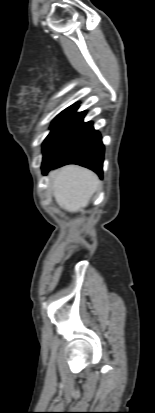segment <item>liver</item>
Wrapping results in <instances>:
<instances>
[{"mask_svg": "<svg viewBox=\"0 0 155 413\" xmlns=\"http://www.w3.org/2000/svg\"><path fill=\"white\" fill-rule=\"evenodd\" d=\"M53 180V195L57 204L69 211L85 208L98 188L97 175L77 165H67L50 173Z\"/></svg>", "mask_w": 155, "mask_h": 413, "instance_id": "1", "label": "liver"}]
</instances>
